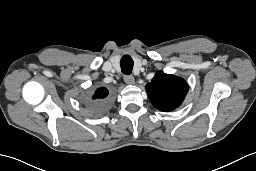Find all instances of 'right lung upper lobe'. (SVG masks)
Masks as SVG:
<instances>
[{
    "mask_svg": "<svg viewBox=\"0 0 256 171\" xmlns=\"http://www.w3.org/2000/svg\"><path fill=\"white\" fill-rule=\"evenodd\" d=\"M108 90L104 87L97 89L95 95L93 96V99H99L100 101H103L108 96Z\"/></svg>",
    "mask_w": 256,
    "mask_h": 171,
    "instance_id": "1",
    "label": "right lung upper lobe"
}]
</instances>
